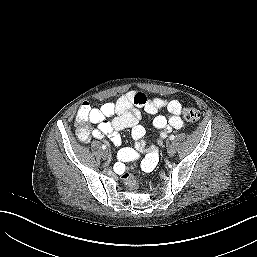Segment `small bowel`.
Masks as SVG:
<instances>
[{
	"instance_id": "obj_1",
	"label": "small bowel",
	"mask_w": 257,
	"mask_h": 257,
	"mask_svg": "<svg viewBox=\"0 0 257 257\" xmlns=\"http://www.w3.org/2000/svg\"><path fill=\"white\" fill-rule=\"evenodd\" d=\"M89 114L85 123L80 122L81 109L76 116L77 136L82 142H89L92 138L101 139L108 136L116 145L121 144L119 131L131 129L132 138L136 141L135 149L123 148L119 151V157L124 162H135L139 159V153L146 148L144 140L145 128L140 123V109L149 114L159 111H167V115H157L153 119V126L160 131L161 139H164L173 130H180L183 126L181 119L182 103L178 99L153 98L140 91H129L122 95L116 103L107 102L100 108H92L86 105ZM83 107V108H84ZM88 123L96 125L94 129L88 127ZM158 160V148L153 145L149 148L146 156L141 160L140 166L144 171L152 170ZM123 169L121 164L117 165Z\"/></svg>"
}]
</instances>
